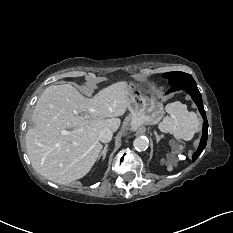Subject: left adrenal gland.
Wrapping results in <instances>:
<instances>
[{"instance_id":"1","label":"left adrenal gland","mask_w":233,"mask_h":233,"mask_svg":"<svg viewBox=\"0 0 233 233\" xmlns=\"http://www.w3.org/2000/svg\"><path fill=\"white\" fill-rule=\"evenodd\" d=\"M155 135H156L157 141H159V139L161 138V136H159L156 132H155Z\"/></svg>"}]
</instances>
